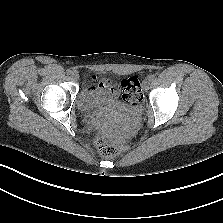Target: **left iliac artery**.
Masks as SVG:
<instances>
[{
  "instance_id": "1",
  "label": "left iliac artery",
  "mask_w": 223,
  "mask_h": 223,
  "mask_svg": "<svg viewBox=\"0 0 223 223\" xmlns=\"http://www.w3.org/2000/svg\"><path fill=\"white\" fill-rule=\"evenodd\" d=\"M154 78H155V76H154V75H149V76H148L149 81H153V80H154Z\"/></svg>"
}]
</instances>
